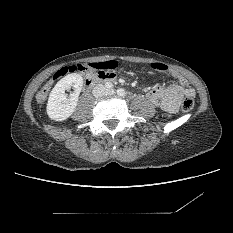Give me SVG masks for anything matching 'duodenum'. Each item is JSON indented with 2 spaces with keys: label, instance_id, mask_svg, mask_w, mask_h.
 Instances as JSON below:
<instances>
[{
  "label": "duodenum",
  "instance_id": "obj_1",
  "mask_svg": "<svg viewBox=\"0 0 233 233\" xmlns=\"http://www.w3.org/2000/svg\"><path fill=\"white\" fill-rule=\"evenodd\" d=\"M108 82L110 81V78L108 74L103 72H96L94 74H89L85 79L86 86H92L98 82Z\"/></svg>",
  "mask_w": 233,
  "mask_h": 233
}]
</instances>
